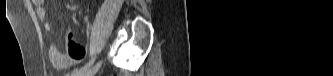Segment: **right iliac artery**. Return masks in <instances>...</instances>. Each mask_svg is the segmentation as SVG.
I'll return each instance as SVG.
<instances>
[{
  "instance_id": "obj_1",
  "label": "right iliac artery",
  "mask_w": 333,
  "mask_h": 76,
  "mask_svg": "<svg viewBox=\"0 0 333 76\" xmlns=\"http://www.w3.org/2000/svg\"><path fill=\"white\" fill-rule=\"evenodd\" d=\"M94 60H90L86 65H84L82 68L80 69H76L72 72V76H81L83 75L92 65Z\"/></svg>"
}]
</instances>
